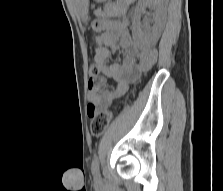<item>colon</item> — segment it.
<instances>
[{"mask_svg":"<svg viewBox=\"0 0 223 191\" xmlns=\"http://www.w3.org/2000/svg\"><path fill=\"white\" fill-rule=\"evenodd\" d=\"M96 44L101 47L102 41L100 38H96ZM99 74V67L96 63H91L89 66V75L90 77L96 78ZM90 113L93 114L91 122V132L95 136L102 135L108 128L110 122L114 117V109H104L96 112L95 108L89 109Z\"/></svg>","mask_w":223,"mask_h":191,"instance_id":"obj_1","label":"colon"}]
</instances>
